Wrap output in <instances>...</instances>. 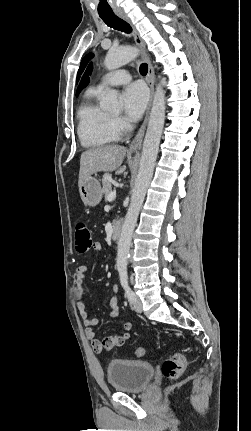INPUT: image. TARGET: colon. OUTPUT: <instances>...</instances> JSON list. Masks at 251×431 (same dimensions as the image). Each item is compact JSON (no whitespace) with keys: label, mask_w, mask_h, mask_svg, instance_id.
Instances as JSON below:
<instances>
[{"label":"colon","mask_w":251,"mask_h":431,"mask_svg":"<svg viewBox=\"0 0 251 431\" xmlns=\"http://www.w3.org/2000/svg\"><path fill=\"white\" fill-rule=\"evenodd\" d=\"M75 247L79 253H86L95 247L91 230L83 222H79L75 228ZM133 354L136 357H142L145 354V349L137 347L133 350ZM186 363V357L183 354H174L162 363L163 376L170 380L179 379L184 373Z\"/></svg>","instance_id":"colon-1"}]
</instances>
